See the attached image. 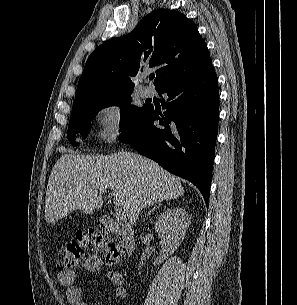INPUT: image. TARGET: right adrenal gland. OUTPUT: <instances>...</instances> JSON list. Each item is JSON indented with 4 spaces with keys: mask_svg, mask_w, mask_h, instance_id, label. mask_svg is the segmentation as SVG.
Masks as SVG:
<instances>
[{
    "mask_svg": "<svg viewBox=\"0 0 297 305\" xmlns=\"http://www.w3.org/2000/svg\"><path fill=\"white\" fill-rule=\"evenodd\" d=\"M161 204H162V202L157 203L151 210H149V212L146 214V216L150 215L154 210L159 208V206H161Z\"/></svg>",
    "mask_w": 297,
    "mask_h": 305,
    "instance_id": "1",
    "label": "right adrenal gland"
}]
</instances>
